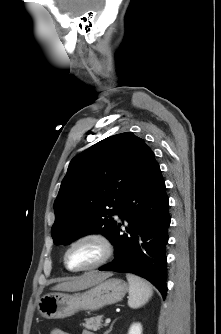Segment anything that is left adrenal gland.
<instances>
[{"instance_id":"1","label":"left adrenal gland","mask_w":221,"mask_h":334,"mask_svg":"<svg viewBox=\"0 0 221 334\" xmlns=\"http://www.w3.org/2000/svg\"><path fill=\"white\" fill-rule=\"evenodd\" d=\"M113 324H114V322L111 324V326H110L109 330H107V331H106L104 334H108V333H110V332L112 331Z\"/></svg>"}]
</instances>
